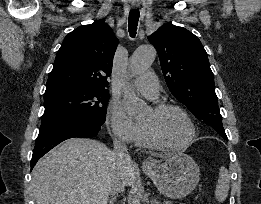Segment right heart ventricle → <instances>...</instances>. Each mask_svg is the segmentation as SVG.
<instances>
[{
  "instance_id": "obj_1",
  "label": "right heart ventricle",
  "mask_w": 261,
  "mask_h": 204,
  "mask_svg": "<svg viewBox=\"0 0 261 204\" xmlns=\"http://www.w3.org/2000/svg\"><path fill=\"white\" fill-rule=\"evenodd\" d=\"M136 144L140 147H145V148L154 147L148 140L141 124H138V135L136 139Z\"/></svg>"
}]
</instances>
